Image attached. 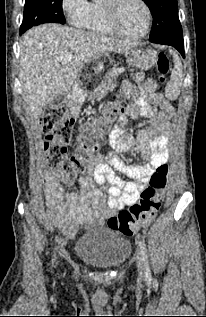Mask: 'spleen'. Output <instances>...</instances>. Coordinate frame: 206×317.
<instances>
[{"label":"spleen","instance_id":"1","mask_svg":"<svg viewBox=\"0 0 206 317\" xmlns=\"http://www.w3.org/2000/svg\"><path fill=\"white\" fill-rule=\"evenodd\" d=\"M173 55L174 68L171 73L170 81L167 83L165 88V96L170 101H174L180 95L181 87H182V63L181 60L175 52L171 51Z\"/></svg>","mask_w":206,"mask_h":317}]
</instances>
